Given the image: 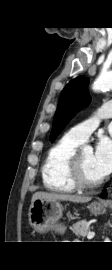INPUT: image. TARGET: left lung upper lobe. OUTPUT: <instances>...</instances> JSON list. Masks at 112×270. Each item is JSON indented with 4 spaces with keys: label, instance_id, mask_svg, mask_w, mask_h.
I'll list each match as a JSON object with an SVG mask.
<instances>
[{
    "label": "left lung upper lobe",
    "instance_id": "5c2ea615",
    "mask_svg": "<svg viewBox=\"0 0 112 270\" xmlns=\"http://www.w3.org/2000/svg\"><path fill=\"white\" fill-rule=\"evenodd\" d=\"M88 83V78L77 77L71 80L62 91L54 116L53 128L50 135L51 141L58 136L80 108L89 104Z\"/></svg>",
    "mask_w": 112,
    "mask_h": 270
}]
</instances>
